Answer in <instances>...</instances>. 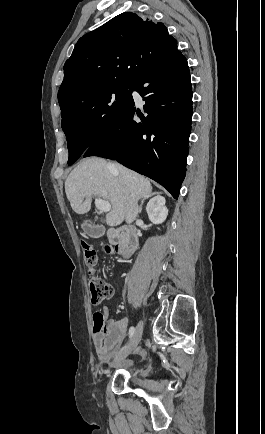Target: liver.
Returning a JSON list of instances; mask_svg holds the SVG:
<instances>
[{"label": "liver", "instance_id": "1", "mask_svg": "<svg viewBox=\"0 0 265 434\" xmlns=\"http://www.w3.org/2000/svg\"><path fill=\"white\" fill-rule=\"evenodd\" d=\"M65 192L76 214H87L91 210L93 196L109 200L112 210L106 214V224L119 226L125 220L128 200L137 202L139 198L148 196L152 186L148 178L116 162L85 158L66 178Z\"/></svg>", "mask_w": 265, "mask_h": 434}]
</instances>
